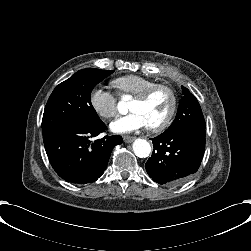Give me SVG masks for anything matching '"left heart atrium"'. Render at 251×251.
I'll return each mask as SVG.
<instances>
[{
    "label": "left heart atrium",
    "instance_id": "39dd6f15",
    "mask_svg": "<svg viewBox=\"0 0 251 251\" xmlns=\"http://www.w3.org/2000/svg\"><path fill=\"white\" fill-rule=\"evenodd\" d=\"M149 126V122L140 110H134L125 115L117 116L111 123L110 128L113 132L124 134L137 131Z\"/></svg>",
    "mask_w": 251,
    "mask_h": 251
}]
</instances>
